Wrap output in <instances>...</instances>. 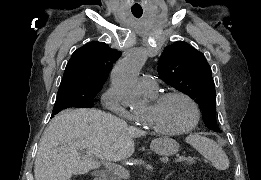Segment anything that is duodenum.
I'll return each instance as SVG.
<instances>
[{
  "label": "duodenum",
  "instance_id": "410a0bca",
  "mask_svg": "<svg viewBox=\"0 0 261 180\" xmlns=\"http://www.w3.org/2000/svg\"><path fill=\"white\" fill-rule=\"evenodd\" d=\"M93 180H100V178L99 177H94Z\"/></svg>",
  "mask_w": 261,
  "mask_h": 180
}]
</instances>
